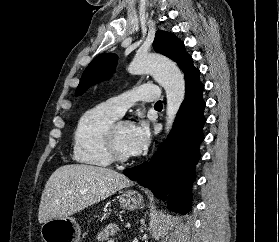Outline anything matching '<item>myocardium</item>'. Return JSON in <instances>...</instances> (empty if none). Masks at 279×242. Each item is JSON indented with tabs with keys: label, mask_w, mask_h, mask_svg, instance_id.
<instances>
[{
	"label": "myocardium",
	"mask_w": 279,
	"mask_h": 242,
	"mask_svg": "<svg viewBox=\"0 0 279 242\" xmlns=\"http://www.w3.org/2000/svg\"><path fill=\"white\" fill-rule=\"evenodd\" d=\"M124 124H128L129 122L127 121H115L114 123H112L110 125V127L108 128L106 135H105V141H106V146L108 149V152L112 158L113 161L119 162V163H127L131 161V157L130 156H126L123 155L116 144V131L117 129Z\"/></svg>",
	"instance_id": "myocardium-1"
}]
</instances>
